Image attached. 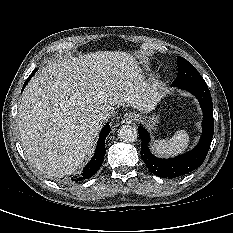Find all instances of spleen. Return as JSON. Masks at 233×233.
<instances>
[{
    "instance_id": "obj_1",
    "label": "spleen",
    "mask_w": 233,
    "mask_h": 233,
    "mask_svg": "<svg viewBox=\"0 0 233 233\" xmlns=\"http://www.w3.org/2000/svg\"><path fill=\"white\" fill-rule=\"evenodd\" d=\"M190 138L185 130L177 131L170 139L152 143V150L159 156L176 155L187 149Z\"/></svg>"
}]
</instances>
